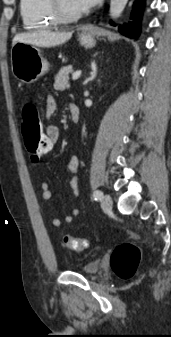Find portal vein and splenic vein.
<instances>
[{"instance_id": "obj_1", "label": "portal vein and splenic vein", "mask_w": 171, "mask_h": 337, "mask_svg": "<svg viewBox=\"0 0 171 337\" xmlns=\"http://www.w3.org/2000/svg\"><path fill=\"white\" fill-rule=\"evenodd\" d=\"M80 76H81V71L78 70V71L73 73L72 80H77Z\"/></svg>"}]
</instances>
